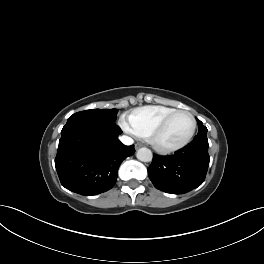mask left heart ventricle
<instances>
[{
	"mask_svg": "<svg viewBox=\"0 0 264 264\" xmlns=\"http://www.w3.org/2000/svg\"><path fill=\"white\" fill-rule=\"evenodd\" d=\"M192 120L189 115L180 113L175 115L165 130L158 136L162 145H172L184 140L191 132Z\"/></svg>",
	"mask_w": 264,
	"mask_h": 264,
	"instance_id": "left-heart-ventricle-1",
	"label": "left heart ventricle"
}]
</instances>
